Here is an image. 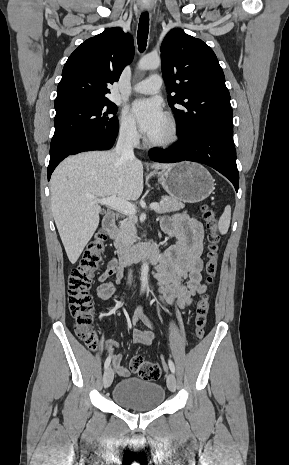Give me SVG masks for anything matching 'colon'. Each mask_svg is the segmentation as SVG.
<instances>
[{"label": "colon", "mask_w": 289, "mask_h": 465, "mask_svg": "<svg viewBox=\"0 0 289 465\" xmlns=\"http://www.w3.org/2000/svg\"><path fill=\"white\" fill-rule=\"evenodd\" d=\"M202 218L205 222L207 235V259L205 263V276L208 283H212L217 272L221 236L218 231L219 220L215 210L204 205ZM106 234L99 230L87 245L77 267L72 269L68 277V305L71 316L75 321V332L84 344L96 350L99 345L98 337L93 329L94 307L90 295V287L94 275L98 271L106 248ZM210 302L203 295L196 304L195 310V337L201 340L205 335V326L209 312ZM132 370L144 380L154 381L161 375L164 362L156 363L134 356L131 360Z\"/></svg>", "instance_id": "obj_1"}]
</instances>
